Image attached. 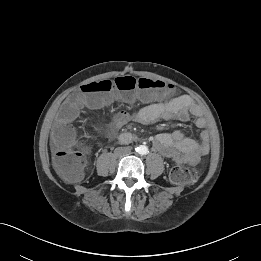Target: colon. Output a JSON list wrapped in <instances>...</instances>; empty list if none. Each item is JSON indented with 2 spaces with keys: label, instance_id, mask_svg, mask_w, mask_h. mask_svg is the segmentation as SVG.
<instances>
[{
  "label": "colon",
  "instance_id": "obj_1",
  "mask_svg": "<svg viewBox=\"0 0 261 261\" xmlns=\"http://www.w3.org/2000/svg\"><path fill=\"white\" fill-rule=\"evenodd\" d=\"M114 91H119L125 102H152L172 95L173 87L160 80L132 76L102 79L81 85L79 91L71 95L61 108V122L53 130V138L59 146L54 165L65 179L78 181L85 167L83 144L68 121L77 114L81 104L100 107L105 103V96ZM170 178L175 184L186 185L195 179V173L183 160H177L170 171Z\"/></svg>",
  "mask_w": 261,
  "mask_h": 261
}]
</instances>
